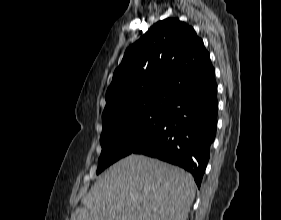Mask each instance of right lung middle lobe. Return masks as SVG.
Returning <instances> with one entry per match:
<instances>
[{"mask_svg": "<svg viewBox=\"0 0 281 220\" xmlns=\"http://www.w3.org/2000/svg\"><path fill=\"white\" fill-rule=\"evenodd\" d=\"M167 110H150L129 114L103 127L97 174L149 141L161 128Z\"/></svg>", "mask_w": 281, "mask_h": 220, "instance_id": "right-lung-middle-lobe-1", "label": "right lung middle lobe"}]
</instances>
